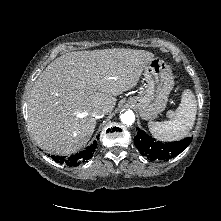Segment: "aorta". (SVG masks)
<instances>
[{
    "label": "aorta",
    "mask_w": 221,
    "mask_h": 221,
    "mask_svg": "<svg viewBox=\"0 0 221 221\" xmlns=\"http://www.w3.org/2000/svg\"><path fill=\"white\" fill-rule=\"evenodd\" d=\"M121 122L126 125H132L135 121V115L133 111L128 110L120 116Z\"/></svg>",
    "instance_id": "1"
}]
</instances>
